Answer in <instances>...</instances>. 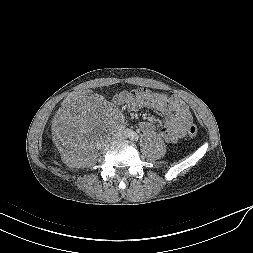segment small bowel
Here are the masks:
<instances>
[{"label":"small bowel","mask_w":253,"mask_h":253,"mask_svg":"<svg viewBox=\"0 0 253 253\" xmlns=\"http://www.w3.org/2000/svg\"><path fill=\"white\" fill-rule=\"evenodd\" d=\"M114 103L134 111L142 107H150L162 113L166 118V123L159 130V135L169 143L179 141L185 135L187 126L192 121L191 112L184 101L145 88L122 91L115 95ZM140 128L146 133L155 131L154 124L150 122H141Z\"/></svg>","instance_id":"1"}]
</instances>
